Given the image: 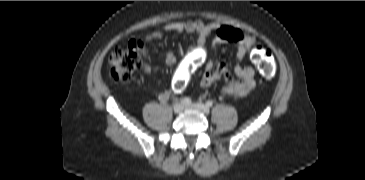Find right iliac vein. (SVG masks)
I'll return each instance as SVG.
<instances>
[{
	"label": "right iliac vein",
	"mask_w": 365,
	"mask_h": 180,
	"mask_svg": "<svg viewBox=\"0 0 365 180\" xmlns=\"http://www.w3.org/2000/svg\"><path fill=\"white\" fill-rule=\"evenodd\" d=\"M184 109V104L182 103H176L174 106H173V110L175 113H180L182 112Z\"/></svg>",
	"instance_id": "obj_1"
}]
</instances>
